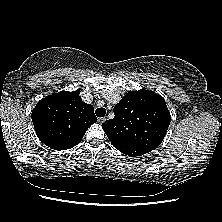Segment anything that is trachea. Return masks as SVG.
<instances>
[{
    "label": "trachea",
    "mask_w": 222,
    "mask_h": 222,
    "mask_svg": "<svg viewBox=\"0 0 222 222\" xmlns=\"http://www.w3.org/2000/svg\"><path fill=\"white\" fill-rule=\"evenodd\" d=\"M97 117H104L106 114L105 108H97L95 111Z\"/></svg>",
    "instance_id": "trachea-1"
}]
</instances>
